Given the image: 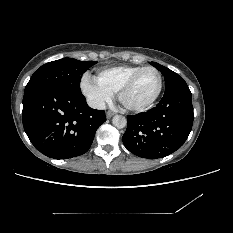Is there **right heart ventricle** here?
I'll list each match as a JSON object with an SVG mask.
<instances>
[{
	"label": "right heart ventricle",
	"mask_w": 233,
	"mask_h": 233,
	"mask_svg": "<svg viewBox=\"0 0 233 233\" xmlns=\"http://www.w3.org/2000/svg\"><path fill=\"white\" fill-rule=\"evenodd\" d=\"M143 66L121 65L110 67L98 72L96 82L111 96L116 95L122 85Z\"/></svg>",
	"instance_id": "obj_1"
}]
</instances>
